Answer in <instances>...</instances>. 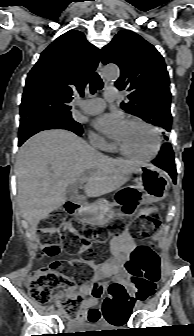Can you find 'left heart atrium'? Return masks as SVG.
<instances>
[{"label":"left heart atrium","instance_id":"left-heart-atrium-1","mask_svg":"<svg viewBox=\"0 0 194 336\" xmlns=\"http://www.w3.org/2000/svg\"><path fill=\"white\" fill-rule=\"evenodd\" d=\"M125 122L119 114H105L95 121L96 128L102 133L113 136L117 139L123 131Z\"/></svg>","mask_w":194,"mask_h":336}]
</instances>
